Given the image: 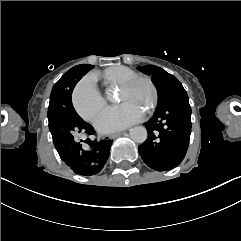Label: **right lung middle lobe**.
I'll use <instances>...</instances> for the list:
<instances>
[{"instance_id": "dd1d6c3e", "label": "right lung middle lobe", "mask_w": 241, "mask_h": 241, "mask_svg": "<svg viewBox=\"0 0 241 241\" xmlns=\"http://www.w3.org/2000/svg\"><path fill=\"white\" fill-rule=\"evenodd\" d=\"M78 68L79 65L71 68L52 88L48 107V120L53 142L64 126H69L71 123L82 119L76 113L71 100L73 91L71 87L72 77Z\"/></svg>"}]
</instances>
